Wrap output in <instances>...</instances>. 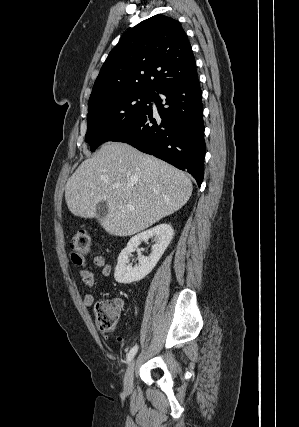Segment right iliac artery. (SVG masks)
Segmentation results:
<instances>
[{"label": "right iliac artery", "mask_w": 299, "mask_h": 427, "mask_svg": "<svg viewBox=\"0 0 299 427\" xmlns=\"http://www.w3.org/2000/svg\"><path fill=\"white\" fill-rule=\"evenodd\" d=\"M137 350H138V346L136 345L129 351V353L127 354V363H129L132 360Z\"/></svg>", "instance_id": "82829eb1"}]
</instances>
